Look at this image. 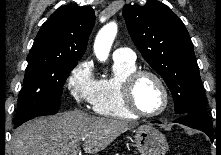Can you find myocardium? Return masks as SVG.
<instances>
[{"label": "myocardium", "mask_w": 221, "mask_h": 155, "mask_svg": "<svg viewBox=\"0 0 221 155\" xmlns=\"http://www.w3.org/2000/svg\"><path fill=\"white\" fill-rule=\"evenodd\" d=\"M146 76L153 78L158 83L164 96V103L162 107L156 112H144L139 108V106L136 103L135 89L137 83L141 78ZM121 93L125 107L132 114L140 117L152 118L160 116L167 110L170 103V94L166 83L157 73L150 70H135L134 72L129 74L122 83Z\"/></svg>", "instance_id": "myocardium-1"}]
</instances>
